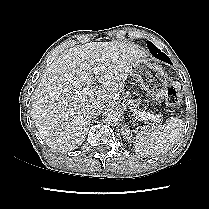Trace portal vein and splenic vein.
Masks as SVG:
<instances>
[{"label":"portal vein and splenic vein","instance_id":"obj_1","mask_svg":"<svg viewBox=\"0 0 209 209\" xmlns=\"http://www.w3.org/2000/svg\"><path fill=\"white\" fill-rule=\"evenodd\" d=\"M90 90V87L89 86H86V87H84L83 89H82V91L81 92H77V94L78 95H81L82 93H87L88 91ZM145 114L142 112V113H140V119H142V117L144 116ZM147 118H150V119H155L156 118V116L155 115H153V114H147Z\"/></svg>","mask_w":209,"mask_h":209}]
</instances>
